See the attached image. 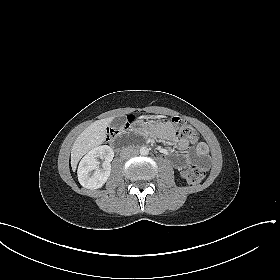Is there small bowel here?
<instances>
[{
  "instance_id": "1",
  "label": "small bowel",
  "mask_w": 280,
  "mask_h": 280,
  "mask_svg": "<svg viewBox=\"0 0 280 280\" xmlns=\"http://www.w3.org/2000/svg\"><path fill=\"white\" fill-rule=\"evenodd\" d=\"M159 131L160 133L167 138L168 140L174 142L177 147L181 150H185L189 147V142L187 139L185 138H178L177 135L175 134V131L173 129V127L170 124H164L162 126L159 127ZM208 146L203 143V142H199L196 147H195V155L197 156V158L199 159L200 163L207 168L209 163H210V159H209V155H208ZM192 162V157L190 154H186L184 156L183 160H179L175 163V167L178 170H183L184 168H186L190 163Z\"/></svg>"
}]
</instances>
